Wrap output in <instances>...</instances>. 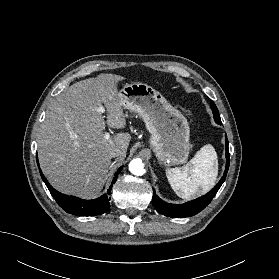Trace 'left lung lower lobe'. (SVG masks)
I'll list each match as a JSON object with an SVG mask.
<instances>
[{
    "label": "left lung lower lobe",
    "instance_id": "obj_1",
    "mask_svg": "<svg viewBox=\"0 0 279 279\" xmlns=\"http://www.w3.org/2000/svg\"><path fill=\"white\" fill-rule=\"evenodd\" d=\"M226 168L223 177L219 181V183L207 194L204 196L197 198L195 200H192L190 202H187L185 204H169L166 203L165 201L161 200L155 193L152 198L153 205L155 209L168 217H177V218H182V217H189V216H194L197 213H199L201 210H203L213 199V197L216 195L217 191L223 184L226 178V174L229 169V149H228V140L226 136Z\"/></svg>",
    "mask_w": 279,
    "mask_h": 279
}]
</instances>
